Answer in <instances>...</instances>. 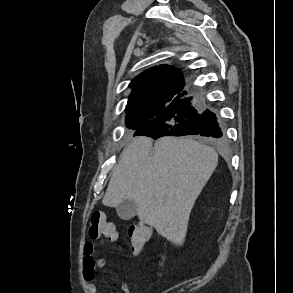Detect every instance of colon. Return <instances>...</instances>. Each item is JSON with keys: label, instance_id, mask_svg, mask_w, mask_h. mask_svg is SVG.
Returning <instances> with one entry per match:
<instances>
[{"label": "colon", "instance_id": "colon-1", "mask_svg": "<svg viewBox=\"0 0 293 293\" xmlns=\"http://www.w3.org/2000/svg\"><path fill=\"white\" fill-rule=\"evenodd\" d=\"M89 235L92 239H115L117 236L115 226L107 219L102 211H94L89 216ZM128 237L135 251L141 250L152 237L149 226L136 222L129 226Z\"/></svg>", "mask_w": 293, "mask_h": 293}]
</instances>
